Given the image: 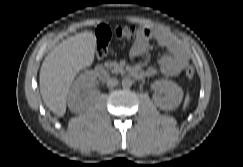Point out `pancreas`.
<instances>
[{"label": "pancreas", "mask_w": 243, "mask_h": 167, "mask_svg": "<svg viewBox=\"0 0 243 167\" xmlns=\"http://www.w3.org/2000/svg\"><path fill=\"white\" fill-rule=\"evenodd\" d=\"M104 66L112 73H119L123 71V68L115 61L105 62Z\"/></svg>", "instance_id": "obj_1"}]
</instances>
